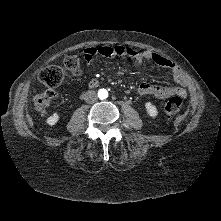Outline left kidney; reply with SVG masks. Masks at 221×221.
Returning a JSON list of instances; mask_svg holds the SVG:
<instances>
[{"label": "left kidney", "instance_id": "5707ae66", "mask_svg": "<svg viewBox=\"0 0 221 221\" xmlns=\"http://www.w3.org/2000/svg\"><path fill=\"white\" fill-rule=\"evenodd\" d=\"M145 109L147 112V115L151 118H155L158 115V110L156 106L152 102H146L145 103Z\"/></svg>", "mask_w": 221, "mask_h": 221}]
</instances>
